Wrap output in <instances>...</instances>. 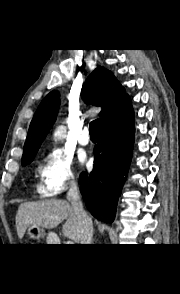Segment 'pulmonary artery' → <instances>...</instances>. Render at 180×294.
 <instances>
[{
	"label": "pulmonary artery",
	"mask_w": 180,
	"mask_h": 294,
	"mask_svg": "<svg viewBox=\"0 0 180 294\" xmlns=\"http://www.w3.org/2000/svg\"><path fill=\"white\" fill-rule=\"evenodd\" d=\"M78 142L81 145H88L90 143V137H89V129L88 127H85L81 134L78 136Z\"/></svg>",
	"instance_id": "1"
}]
</instances>
